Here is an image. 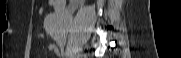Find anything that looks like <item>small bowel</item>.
Returning a JSON list of instances; mask_svg holds the SVG:
<instances>
[{"mask_svg":"<svg viewBox=\"0 0 181 58\" xmlns=\"http://www.w3.org/2000/svg\"><path fill=\"white\" fill-rule=\"evenodd\" d=\"M52 5H53L54 8H55V5H54V4H52ZM55 10L57 11L56 8H55ZM49 50H50L51 52L55 53L56 55H58V54L60 53V50H59L58 46H57L56 44H54V43H52V44L49 45Z\"/></svg>","mask_w":181,"mask_h":58,"instance_id":"1","label":"small bowel"}]
</instances>
